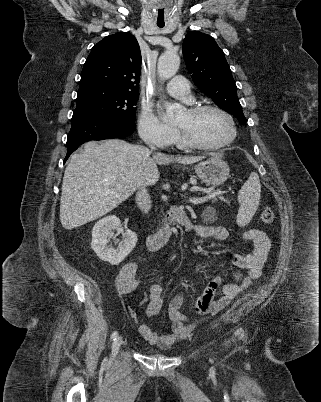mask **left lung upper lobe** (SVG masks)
<instances>
[{
  "mask_svg": "<svg viewBox=\"0 0 321 402\" xmlns=\"http://www.w3.org/2000/svg\"><path fill=\"white\" fill-rule=\"evenodd\" d=\"M183 56L196 86L221 109L233 114L240 122H247L231 70L216 41L198 31L189 32L183 42Z\"/></svg>",
  "mask_w": 321,
  "mask_h": 402,
  "instance_id": "obj_1",
  "label": "left lung upper lobe"
}]
</instances>
